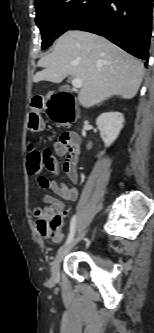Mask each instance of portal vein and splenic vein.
<instances>
[{"label":"portal vein and splenic vein","instance_id":"18ae733b","mask_svg":"<svg viewBox=\"0 0 154 333\" xmlns=\"http://www.w3.org/2000/svg\"><path fill=\"white\" fill-rule=\"evenodd\" d=\"M71 84L73 87L77 88V89H80L83 85L82 81L78 78H73L71 80Z\"/></svg>","mask_w":154,"mask_h":333}]
</instances>
